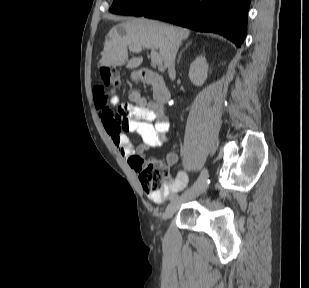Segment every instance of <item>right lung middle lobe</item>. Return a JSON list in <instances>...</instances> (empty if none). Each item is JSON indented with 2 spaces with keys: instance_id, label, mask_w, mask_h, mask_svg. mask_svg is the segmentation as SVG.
Segmentation results:
<instances>
[{
  "instance_id": "right-lung-middle-lobe-1",
  "label": "right lung middle lobe",
  "mask_w": 309,
  "mask_h": 288,
  "mask_svg": "<svg viewBox=\"0 0 309 288\" xmlns=\"http://www.w3.org/2000/svg\"><path fill=\"white\" fill-rule=\"evenodd\" d=\"M165 0H114L110 12L122 15L143 16Z\"/></svg>"
}]
</instances>
